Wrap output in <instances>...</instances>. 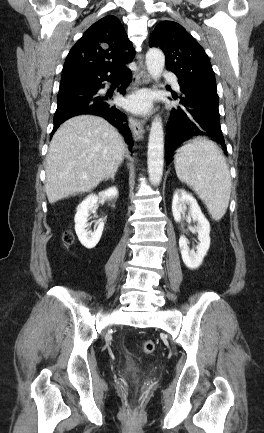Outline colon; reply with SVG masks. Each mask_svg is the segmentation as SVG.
Masks as SVG:
<instances>
[{
    "mask_svg": "<svg viewBox=\"0 0 264 433\" xmlns=\"http://www.w3.org/2000/svg\"><path fill=\"white\" fill-rule=\"evenodd\" d=\"M63 240H64L65 244H67V245L71 244L73 241L72 234L70 232H66L63 236ZM155 347H156L155 342L151 339H145L142 342V350L145 354L153 353L155 350Z\"/></svg>",
    "mask_w": 264,
    "mask_h": 433,
    "instance_id": "1",
    "label": "colon"
}]
</instances>
